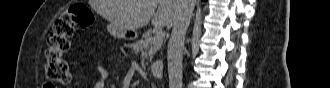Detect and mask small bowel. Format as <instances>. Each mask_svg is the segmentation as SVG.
Returning <instances> with one entry per match:
<instances>
[{
    "label": "small bowel",
    "mask_w": 330,
    "mask_h": 88,
    "mask_svg": "<svg viewBox=\"0 0 330 88\" xmlns=\"http://www.w3.org/2000/svg\"><path fill=\"white\" fill-rule=\"evenodd\" d=\"M96 70L99 74V81L97 83V88H103L104 87V81L108 76L107 69L100 63L95 64Z\"/></svg>",
    "instance_id": "obj_1"
}]
</instances>
